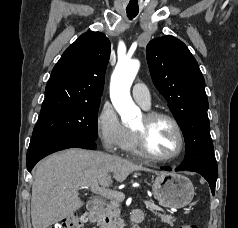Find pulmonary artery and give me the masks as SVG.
Here are the masks:
<instances>
[{"label": "pulmonary artery", "instance_id": "1", "mask_svg": "<svg viewBox=\"0 0 238 228\" xmlns=\"http://www.w3.org/2000/svg\"><path fill=\"white\" fill-rule=\"evenodd\" d=\"M132 96L140 105L144 108H148L150 106V93L147 86L143 83H136L132 87Z\"/></svg>", "mask_w": 238, "mask_h": 228}]
</instances>
